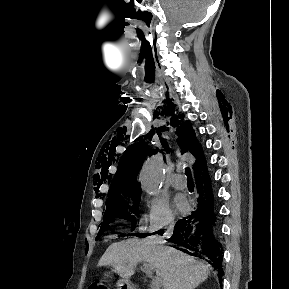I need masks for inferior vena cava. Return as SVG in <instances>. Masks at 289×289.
Returning <instances> with one entry per match:
<instances>
[{
    "label": "inferior vena cava",
    "instance_id": "obj_1",
    "mask_svg": "<svg viewBox=\"0 0 289 289\" xmlns=\"http://www.w3.org/2000/svg\"><path fill=\"white\" fill-rule=\"evenodd\" d=\"M173 227H174V225H173V224H170V226L167 228V232H166V235H167V236H170V235L172 234ZM164 289H170V286H169L168 283H165V284H164Z\"/></svg>",
    "mask_w": 289,
    "mask_h": 289
}]
</instances>
